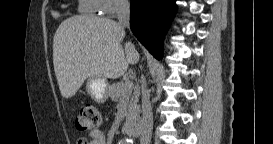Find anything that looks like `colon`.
<instances>
[{"label": "colon", "mask_w": 273, "mask_h": 144, "mask_svg": "<svg viewBox=\"0 0 273 144\" xmlns=\"http://www.w3.org/2000/svg\"><path fill=\"white\" fill-rule=\"evenodd\" d=\"M101 124V116L94 105L85 104L76 118V128L81 132L96 130Z\"/></svg>", "instance_id": "1"}]
</instances>
